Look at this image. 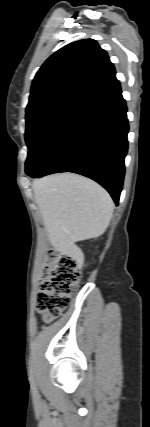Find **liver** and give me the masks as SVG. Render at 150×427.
<instances>
[{"label":"liver","instance_id":"obj_1","mask_svg":"<svg viewBox=\"0 0 150 427\" xmlns=\"http://www.w3.org/2000/svg\"><path fill=\"white\" fill-rule=\"evenodd\" d=\"M52 246L61 253L78 251L75 243L96 238L107 229L114 203L109 193L83 176L62 173L32 185Z\"/></svg>","mask_w":150,"mask_h":427}]
</instances>
